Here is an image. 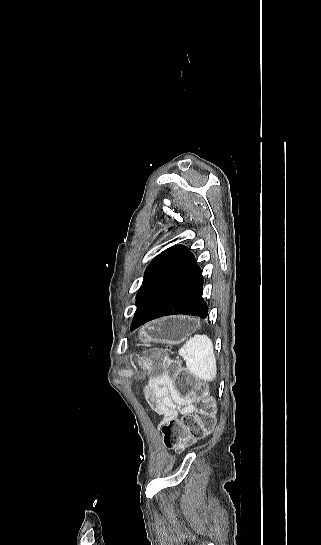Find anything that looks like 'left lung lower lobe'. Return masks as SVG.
Listing matches in <instances>:
<instances>
[{
    "label": "left lung lower lobe",
    "instance_id": "1",
    "mask_svg": "<svg viewBox=\"0 0 321 545\" xmlns=\"http://www.w3.org/2000/svg\"><path fill=\"white\" fill-rule=\"evenodd\" d=\"M203 276L193 254L182 245L174 246L136 299L131 330L161 316L186 314L206 318Z\"/></svg>",
    "mask_w": 321,
    "mask_h": 545
}]
</instances>
